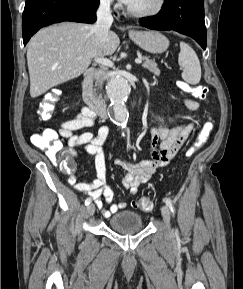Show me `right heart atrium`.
Segmentation results:
<instances>
[{
	"label": "right heart atrium",
	"instance_id": "d8ad5b80",
	"mask_svg": "<svg viewBox=\"0 0 243 289\" xmlns=\"http://www.w3.org/2000/svg\"><path fill=\"white\" fill-rule=\"evenodd\" d=\"M99 1H100V4L105 7H109L113 3V0H99Z\"/></svg>",
	"mask_w": 243,
	"mask_h": 289
}]
</instances>
